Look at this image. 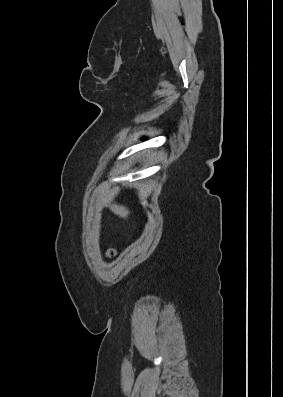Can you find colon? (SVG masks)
<instances>
[{
    "mask_svg": "<svg viewBox=\"0 0 283 397\" xmlns=\"http://www.w3.org/2000/svg\"><path fill=\"white\" fill-rule=\"evenodd\" d=\"M113 253H114V250H112V249L108 251L109 255H112Z\"/></svg>",
    "mask_w": 283,
    "mask_h": 397,
    "instance_id": "5ec220e1",
    "label": "colon"
}]
</instances>
